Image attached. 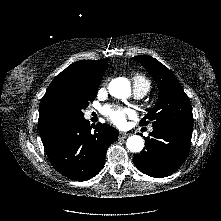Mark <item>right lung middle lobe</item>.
I'll use <instances>...</instances> for the list:
<instances>
[{
	"mask_svg": "<svg viewBox=\"0 0 221 221\" xmlns=\"http://www.w3.org/2000/svg\"><path fill=\"white\" fill-rule=\"evenodd\" d=\"M98 86L99 83L76 78L63 79L57 86L55 97L74 120L80 119L84 117L83 110L95 99Z\"/></svg>",
	"mask_w": 221,
	"mask_h": 221,
	"instance_id": "right-lung-middle-lobe-1",
	"label": "right lung middle lobe"
}]
</instances>
